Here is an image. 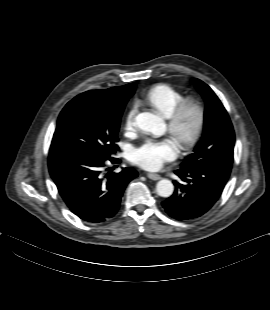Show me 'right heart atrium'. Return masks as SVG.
<instances>
[{"label":"right heart atrium","instance_id":"obj_1","mask_svg":"<svg viewBox=\"0 0 270 310\" xmlns=\"http://www.w3.org/2000/svg\"><path fill=\"white\" fill-rule=\"evenodd\" d=\"M137 114V104L134 103L128 109L124 118V129L131 132L135 129V118Z\"/></svg>","mask_w":270,"mask_h":310}]
</instances>
